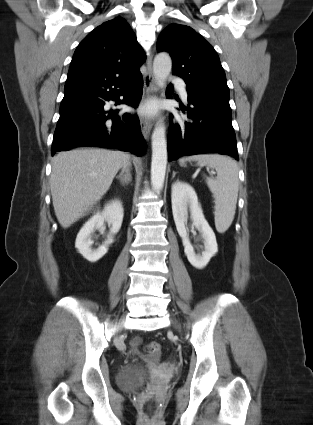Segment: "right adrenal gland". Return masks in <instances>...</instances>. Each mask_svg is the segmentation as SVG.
<instances>
[{
  "mask_svg": "<svg viewBox=\"0 0 313 425\" xmlns=\"http://www.w3.org/2000/svg\"><path fill=\"white\" fill-rule=\"evenodd\" d=\"M116 178L120 181L122 186L128 185L129 182H131V174L130 171L127 169L124 173H120Z\"/></svg>",
  "mask_w": 313,
  "mask_h": 425,
  "instance_id": "1",
  "label": "right adrenal gland"
}]
</instances>
